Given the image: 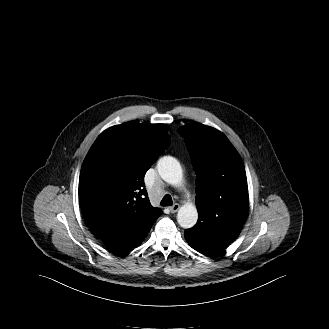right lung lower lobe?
I'll return each instance as SVG.
<instances>
[{"instance_id":"98d812e1","label":"right lung lower lobe","mask_w":329,"mask_h":329,"mask_svg":"<svg viewBox=\"0 0 329 329\" xmlns=\"http://www.w3.org/2000/svg\"><path fill=\"white\" fill-rule=\"evenodd\" d=\"M151 227L134 235H130V236L120 235L103 243L112 253H116V254L127 253V251L130 248L140 244L144 240Z\"/></svg>"}]
</instances>
